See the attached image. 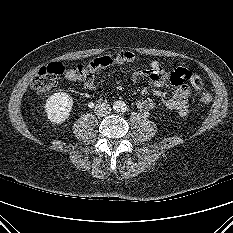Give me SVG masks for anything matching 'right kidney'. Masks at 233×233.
I'll use <instances>...</instances> for the list:
<instances>
[{"mask_svg":"<svg viewBox=\"0 0 233 233\" xmlns=\"http://www.w3.org/2000/svg\"><path fill=\"white\" fill-rule=\"evenodd\" d=\"M73 99L65 92H58L51 95L46 104L45 112L50 122L54 124L63 123L70 116Z\"/></svg>","mask_w":233,"mask_h":233,"instance_id":"right-kidney-1","label":"right kidney"}]
</instances>
